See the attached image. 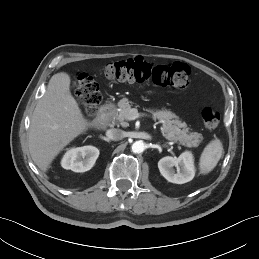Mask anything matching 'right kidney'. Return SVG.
I'll list each match as a JSON object with an SVG mask.
<instances>
[{"mask_svg":"<svg viewBox=\"0 0 259 259\" xmlns=\"http://www.w3.org/2000/svg\"><path fill=\"white\" fill-rule=\"evenodd\" d=\"M99 156V150L94 146H83L68 150L62 158L61 166L74 172L90 170Z\"/></svg>","mask_w":259,"mask_h":259,"instance_id":"1","label":"right kidney"}]
</instances>
